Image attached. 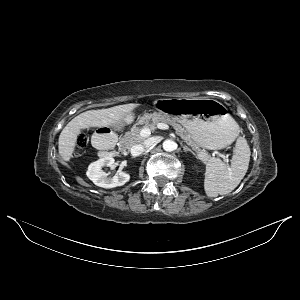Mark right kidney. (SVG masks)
<instances>
[{
  "label": "right kidney",
  "mask_w": 300,
  "mask_h": 300,
  "mask_svg": "<svg viewBox=\"0 0 300 300\" xmlns=\"http://www.w3.org/2000/svg\"><path fill=\"white\" fill-rule=\"evenodd\" d=\"M115 160L112 157H102L88 166L87 177L96 185L103 188H114L122 186L129 181L130 175L120 171L115 176L109 177L102 171L104 166H112Z\"/></svg>",
  "instance_id": "right-kidney-1"
}]
</instances>
